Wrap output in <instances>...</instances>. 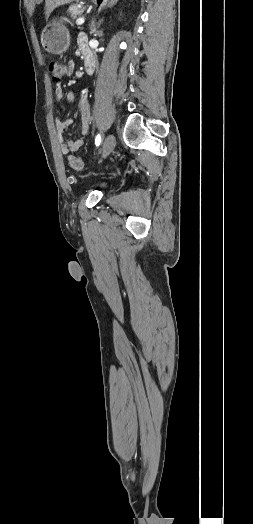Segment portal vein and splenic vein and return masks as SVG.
<instances>
[{
	"label": "portal vein and splenic vein",
	"mask_w": 253,
	"mask_h": 524,
	"mask_svg": "<svg viewBox=\"0 0 253 524\" xmlns=\"http://www.w3.org/2000/svg\"><path fill=\"white\" fill-rule=\"evenodd\" d=\"M84 21H85L84 18H83V17H80V18H78V19L76 20V24H77V25H82V24L84 23Z\"/></svg>",
	"instance_id": "18ae733b"
}]
</instances>
